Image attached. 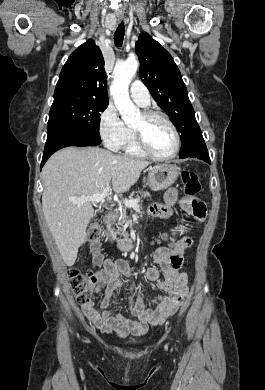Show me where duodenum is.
I'll return each mask as SVG.
<instances>
[{
	"mask_svg": "<svg viewBox=\"0 0 265 390\" xmlns=\"http://www.w3.org/2000/svg\"><path fill=\"white\" fill-rule=\"evenodd\" d=\"M115 220V213L113 212H108L105 216H104V219H103V223L105 226H108L110 224H112Z\"/></svg>",
	"mask_w": 265,
	"mask_h": 390,
	"instance_id": "410a0bca",
	"label": "duodenum"
}]
</instances>
